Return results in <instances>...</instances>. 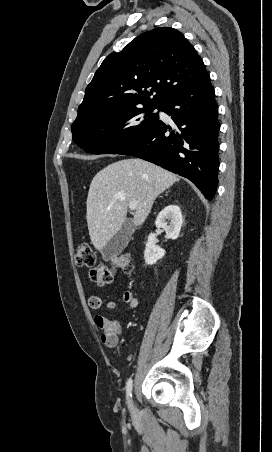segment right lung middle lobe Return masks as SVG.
I'll list each match as a JSON object with an SVG mask.
<instances>
[{
    "instance_id": "dd1d6c3e",
    "label": "right lung middle lobe",
    "mask_w": 272,
    "mask_h": 452,
    "mask_svg": "<svg viewBox=\"0 0 272 452\" xmlns=\"http://www.w3.org/2000/svg\"><path fill=\"white\" fill-rule=\"evenodd\" d=\"M156 108L161 106L139 105L77 119L71 127L73 141L92 154H118L159 120Z\"/></svg>"
}]
</instances>
